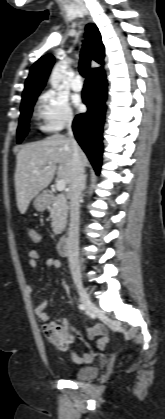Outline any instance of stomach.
I'll list each match as a JSON object with an SVG mask.
<instances>
[{"label":"stomach","mask_w":165,"mask_h":419,"mask_svg":"<svg viewBox=\"0 0 165 419\" xmlns=\"http://www.w3.org/2000/svg\"><path fill=\"white\" fill-rule=\"evenodd\" d=\"M33 205L36 210L43 211L47 206V202L45 201L44 197L40 195L35 198Z\"/></svg>","instance_id":"0dacf381"}]
</instances>
